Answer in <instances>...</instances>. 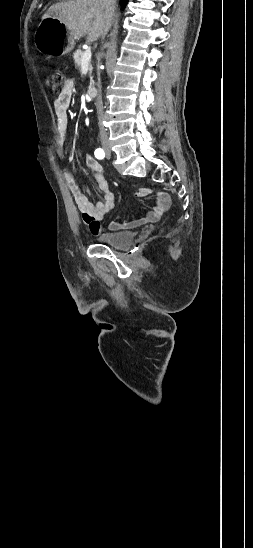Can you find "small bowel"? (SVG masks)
Masks as SVG:
<instances>
[{
    "label": "small bowel",
    "instance_id": "1",
    "mask_svg": "<svg viewBox=\"0 0 253 548\" xmlns=\"http://www.w3.org/2000/svg\"><path fill=\"white\" fill-rule=\"evenodd\" d=\"M74 90V82L72 80L67 81L64 91L59 94L53 103L57 131L55 147L57 154L62 158L65 157L64 144L69 124L68 111ZM85 162L92 172L93 181L101 194L100 197L91 201L87 195L81 192L74 175L69 171L64 173V180L74 197L78 209L84 215V221L86 222L89 231L94 235H98L103 230L100 221L115 207V196L109 189L108 182L103 175L102 167L98 161L92 155L86 154ZM149 193L150 189L143 187L136 191L135 196L138 198H145ZM170 203V196L165 192H161L158 195L155 207L151 211L143 213L131 221H113L109 224L108 228L116 231L137 227L148 222H154L169 208Z\"/></svg>",
    "mask_w": 253,
    "mask_h": 548
}]
</instances>
